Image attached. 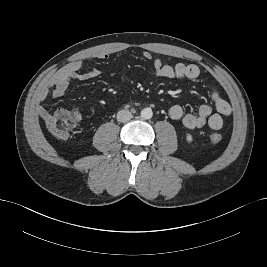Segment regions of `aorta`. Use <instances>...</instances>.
I'll return each mask as SVG.
<instances>
[{"label":"aorta","mask_w":267,"mask_h":267,"mask_svg":"<svg viewBox=\"0 0 267 267\" xmlns=\"http://www.w3.org/2000/svg\"><path fill=\"white\" fill-rule=\"evenodd\" d=\"M153 116V112H152V109L151 108H144L142 111H141V117L143 119H150L152 118Z\"/></svg>","instance_id":"762f6f07"}]
</instances>
